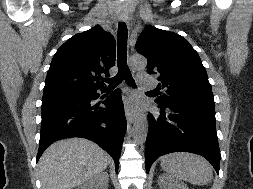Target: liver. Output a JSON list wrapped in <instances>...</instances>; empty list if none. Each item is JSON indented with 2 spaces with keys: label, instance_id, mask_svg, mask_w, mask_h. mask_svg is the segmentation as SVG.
<instances>
[{
  "label": "liver",
  "instance_id": "6515ba94",
  "mask_svg": "<svg viewBox=\"0 0 253 189\" xmlns=\"http://www.w3.org/2000/svg\"><path fill=\"white\" fill-rule=\"evenodd\" d=\"M110 161V156L92 141H58L39 160L41 189H73L105 170Z\"/></svg>",
  "mask_w": 253,
  "mask_h": 189
}]
</instances>
